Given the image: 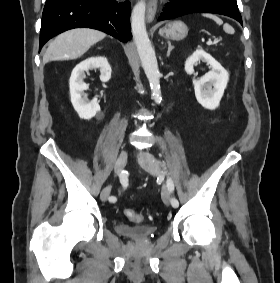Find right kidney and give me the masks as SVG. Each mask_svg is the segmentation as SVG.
<instances>
[{"label":"right kidney","mask_w":280,"mask_h":283,"mask_svg":"<svg viewBox=\"0 0 280 283\" xmlns=\"http://www.w3.org/2000/svg\"><path fill=\"white\" fill-rule=\"evenodd\" d=\"M95 68L100 69V79L102 82L110 80L111 66L107 58L101 56L88 58L76 65L69 80L71 102L81 119L89 120L100 111L97 98L88 101L85 91L89 89V86L83 81L85 72Z\"/></svg>","instance_id":"obj_1"}]
</instances>
